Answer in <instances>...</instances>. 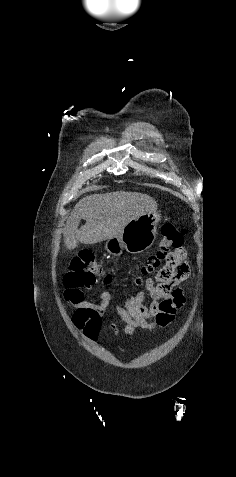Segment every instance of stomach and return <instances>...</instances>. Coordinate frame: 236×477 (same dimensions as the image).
<instances>
[{"instance_id":"1","label":"stomach","mask_w":236,"mask_h":477,"mask_svg":"<svg viewBox=\"0 0 236 477\" xmlns=\"http://www.w3.org/2000/svg\"><path fill=\"white\" fill-rule=\"evenodd\" d=\"M159 220L160 214L157 212H148L131 220L121 234L107 240L106 251L120 256L123 251L139 254L148 250L156 239Z\"/></svg>"}]
</instances>
